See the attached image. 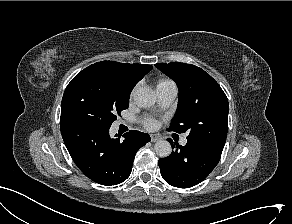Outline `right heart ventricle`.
<instances>
[{"mask_svg": "<svg viewBox=\"0 0 292 224\" xmlns=\"http://www.w3.org/2000/svg\"><path fill=\"white\" fill-rule=\"evenodd\" d=\"M166 82H170V81H161V82L158 83V85L166 83Z\"/></svg>", "mask_w": 292, "mask_h": 224, "instance_id": "right-heart-ventricle-1", "label": "right heart ventricle"}]
</instances>
